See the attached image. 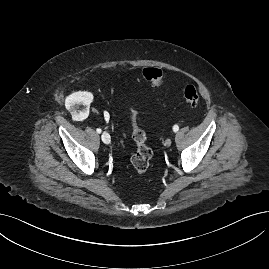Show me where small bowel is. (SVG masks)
Here are the masks:
<instances>
[{"instance_id": "1", "label": "small bowel", "mask_w": 269, "mask_h": 269, "mask_svg": "<svg viewBox=\"0 0 269 269\" xmlns=\"http://www.w3.org/2000/svg\"><path fill=\"white\" fill-rule=\"evenodd\" d=\"M108 118V115H105V119H107Z\"/></svg>"}]
</instances>
